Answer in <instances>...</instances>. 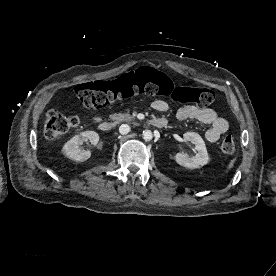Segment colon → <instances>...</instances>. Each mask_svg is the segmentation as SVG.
I'll list each match as a JSON object with an SVG mask.
<instances>
[{
	"label": "colon",
	"instance_id": "5ec220e1",
	"mask_svg": "<svg viewBox=\"0 0 276 276\" xmlns=\"http://www.w3.org/2000/svg\"><path fill=\"white\" fill-rule=\"evenodd\" d=\"M78 100L86 107L100 109L117 101L138 95L147 97H168L180 104H195L206 107L213 103L214 92L207 88L176 86L164 73L144 66L123 75L116 81H100L78 85L75 90ZM77 116L63 115L57 110H49L44 120V135L54 140L71 128L80 125ZM220 149L224 154L235 151V140L231 135L223 138Z\"/></svg>",
	"mask_w": 276,
	"mask_h": 276
}]
</instances>
